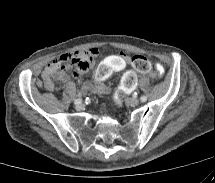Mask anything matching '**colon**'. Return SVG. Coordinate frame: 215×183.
<instances>
[{"mask_svg":"<svg viewBox=\"0 0 215 183\" xmlns=\"http://www.w3.org/2000/svg\"><path fill=\"white\" fill-rule=\"evenodd\" d=\"M131 61H132V65H133L134 69L140 73H147L151 69L150 61L144 56H141V55L133 56ZM80 64H81V62L78 59H71L67 56H62L60 58V67L62 69L69 67V66L78 67ZM154 70L158 74H163L167 70V65L163 61H158L154 65ZM111 74L105 75V74H102L100 71H98L97 78L100 80H104V79L108 78ZM136 82H137V79L134 74H132V73L125 74L124 83L127 87H129V88L134 87L136 85ZM114 103L116 105L121 104V99L119 96H116L114 98Z\"/></svg>","mask_w":215,"mask_h":183,"instance_id":"colon-1","label":"colon"}]
</instances>
